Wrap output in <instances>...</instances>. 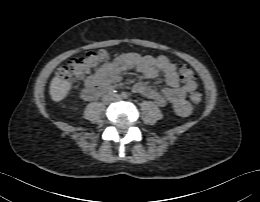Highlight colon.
<instances>
[{"instance_id": "obj_1", "label": "colon", "mask_w": 260, "mask_h": 202, "mask_svg": "<svg viewBox=\"0 0 260 202\" xmlns=\"http://www.w3.org/2000/svg\"><path fill=\"white\" fill-rule=\"evenodd\" d=\"M109 57L107 51L92 53L82 59L71 62L68 66L63 67L59 71V76L71 81L82 80L89 75L99 64L104 62ZM180 78L183 82L189 83L194 81L195 73L187 65L180 67ZM190 101L194 104H199L202 95L199 91H193L189 95Z\"/></svg>"}]
</instances>
